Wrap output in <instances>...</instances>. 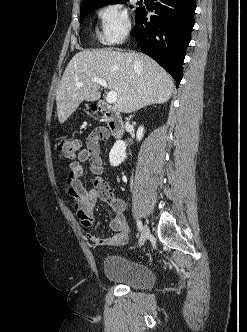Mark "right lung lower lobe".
<instances>
[{
    "mask_svg": "<svg viewBox=\"0 0 247 332\" xmlns=\"http://www.w3.org/2000/svg\"><path fill=\"white\" fill-rule=\"evenodd\" d=\"M157 1V0H155ZM196 0H158L151 10L156 15L147 21V11L136 10L132 36L142 51L157 61L177 82L182 79V64L194 26Z\"/></svg>",
    "mask_w": 247,
    "mask_h": 332,
    "instance_id": "98d812e1",
    "label": "right lung lower lobe"
}]
</instances>
